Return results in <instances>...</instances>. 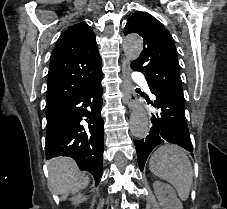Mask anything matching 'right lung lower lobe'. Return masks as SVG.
<instances>
[{"label": "right lung lower lobe", "mask_w": 227, "mask_h": 209, "mask_svg": "<svg viewBox=\"0 0 227 209\" xmlns=\"http://www.w3.org/2000/svg\"><path fill=\"white\" fill-rule=\"evenodd\" d=\"M102 77L100 73L90 78L81 90L49 109L45 145L47 160L72 157L81 170L94 176L96 184L103 173ZM82 117L88 125L81 124Z\"/></svg>", "instance_id": "obj_1"}]
</instances>
